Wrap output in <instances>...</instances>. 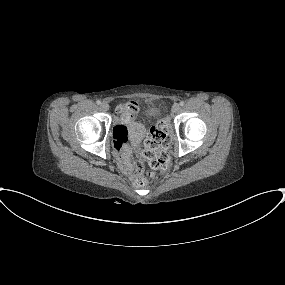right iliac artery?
Wrapping results in <instances>:
<instances>
[{
    "instance_id": "82829eb1",
    "label": "right iliac artery",
    "mask_w": 285,
    "mask_h": 285,
    "mask_svg": "<svg viewBox=\"0 0 285 285\" xmlns=\"http://www.w3.org/2000/svg\"><path fill=\"white\" fill-rule=\"evenodd\" d=\"M96 103H97V105H100V104H101V101H100V100H97Z\"/></svg>"
}]
</instances>
